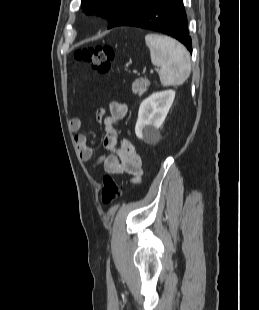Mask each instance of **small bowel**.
Returning a JSON list of instances; mask_svg holds the SVG:
<instances>
[{
  "label": "small bowel",
  "mask_w": 259,
  "mask_h": 310,
  "mask_svg": "<svg viewBox=\"0 0 259 310\" xmlns=\"http://www.w3.org/2000/svg\"><path fill=\"white\" fill-rule=\"evenodd\" d=\"M108 116H105V109L100 108L96 112V118L104 128L103 147L105 153L96 157L95 151L88 145L87 137L78 133L82 127L79 118H72L69 122L71 131L75 134L74 141L80 158L83 161H94L93 168L102 166L104 170L113 175L126 174L130 176L131 183H137L142 175V160L136 152L134 145L128 139H122L118 143L117 123L127 113V105L120 102L109 104Z\"/></svg>",
  "instance_id": "obj_1"
}]
</instances>
